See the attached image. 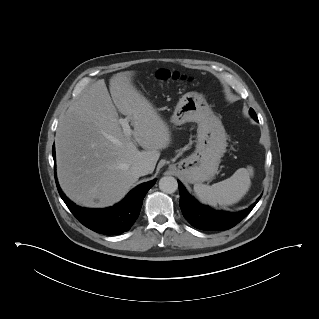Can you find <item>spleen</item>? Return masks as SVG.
I'll use <instances>...</instances> for the list:
<instances>
[{"instance_id":"3e777b00","label":"spleen","mask_w":319,"mask_h":319,"mask_svg":"<svg viewBox=\"0 0 319 319\" xmlns=\"http://www.w3.org/2000/svg\"><path fill=\"white\" fill-rule=\"evenodd\" d=\"M253 168H239L228 179L211 186L195 184L194 192L198 198L211 206H227L237 203L248 192L251 186Z\"/></svg>"}]
</instances>
